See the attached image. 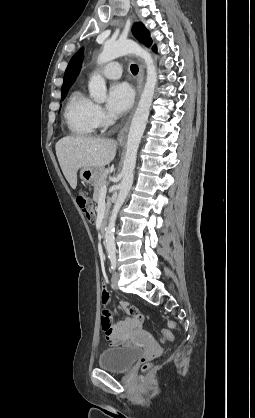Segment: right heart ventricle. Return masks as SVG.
<instances>
[{
	"instance_id": "right-heart-ventricle-1",
	"label": "right heart ventricle",
	"mask_w": 255,
	"mask_h": 418,
	"mask_svg": "<svg viewBox=\"0 0 255 418\" xmlns=\"http://www.w3.org/2000/svg\"><path fill=\"white\" fill-rule=\"evenodd\" d=\"M95 104L81 88H75L69 95L64 118L69 131L77 136L91 135L96 129L94 119Z\"/></svg>"
}]
</instances>
